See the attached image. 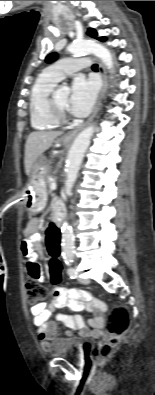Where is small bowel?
<instances>
[{"instance_id": "c3829d8e", "label": "small bowel", "mask_w": 155, "mask_h": 395, "mask_svg": "<svg viewBox=\"0 0 155 395\" xmlns=\"http://www.w3.org/2000/svg\"><path fill=\"white\" fill-rule=\"evenodd\" d=\"M61 208L58 202L54 203V210ZM28 238L21 243V251L27 260V272L30 277L37 279L39 282L44 280L42 270L38 264L41 257V251L37 244V226L32 224L27 231ZM110 302L100 298L94 300L88 292L76 288L66 289L63 287L56 288L53 292V299L47 305L43 302L37 303L31 307L33 323L36 326L37 338L42 349L47 350L51 346V341L57 333V322L64 324L67 330L64 332L65 338L72 336L71 330H76L81 336H99L102 332L104 321L101 315H108ZM69 307L74 311L87 310L94 312L95 315L89 320L92 328L89 330L84 319L77 314H56L55 321H49L51 314L56 310ZM98 311V312H97Z\"/></svg>"}]
</instances>
